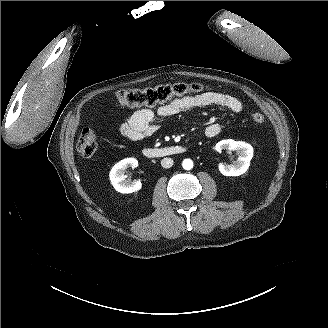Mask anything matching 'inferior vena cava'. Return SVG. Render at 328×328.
I'll return each instance as SVG.
<instances>
[{
  "instance_id": "602c4592",
  "label": "inferior vena cava",
  "mask_w": 328,
  "mask_h": 328,
  "mask_svg": "<svg viewBox=\"0 0 328 328\" xmlns=\"http://www.w3.org/2000/svg\"><path fill=\"white\" fill-rule=\"evenodd\" d=\"M173 159L171 158H163L162 161H161V166L163 168H171L172 165H173Z\"/></svg>"
}]
</instances>
